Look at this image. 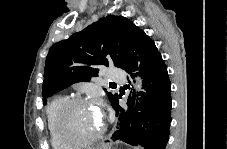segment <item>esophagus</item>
Segmentation results:
<instances>
[{
    "instance_id": "esophagus-1",
    "label": "esophagus",
    "mask_w": 227,
    "mask_h": 149,
    "mask_svg": "<svg viewBox=\"0 0 227 149\" xmlns=\"http://www.w3.org/2000/svg\"><path fill=\"white\" fill-rule=\"evenodd\" d=\"M107 141H110V138H107ZM107 141H104V144H107Z\"/></svg>"
}]
</instances>
